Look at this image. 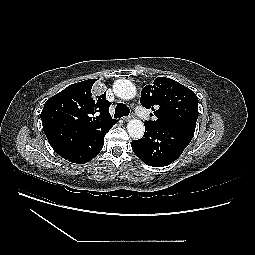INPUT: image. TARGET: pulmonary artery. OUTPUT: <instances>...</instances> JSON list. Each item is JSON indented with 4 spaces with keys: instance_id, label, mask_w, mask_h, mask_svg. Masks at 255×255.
<instances>
[{
    "instance_id": "pulmonary-artery-1",
    "label": "pulmonary artery",
    "mask_w": 255,
    "mask_h": 255,
    "mask_svg": "<svg viewBox=\"0 0 255 255\" xmlns=\"http://www.w3.org/2000/svg\"><path fill=\"white\" fill-rule=\"evenodd\" d=\"M135 112L140 115L141 117H147L149 116L148 113L140 106L135 107Z\"/></svg>"
}]
</instances>
